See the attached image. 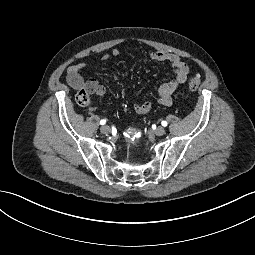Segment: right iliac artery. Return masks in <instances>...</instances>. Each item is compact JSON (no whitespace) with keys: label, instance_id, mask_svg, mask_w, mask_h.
<instances>
[{"label":"right iliac artery","instance_id":"82829eb1","mask_svg":"<svg viewBox=\"0 0 255 255\" xmlns=\"http://www.w3.org/2000/svg\"><path fill=\"white\" fill-rule=\"evenodd\" d=\"M105 123H106V120H105V119H103V120L100 121V124H101V125H104Z\"/></svg>","mask_w":255,"mask_h":255}]
</instances>
